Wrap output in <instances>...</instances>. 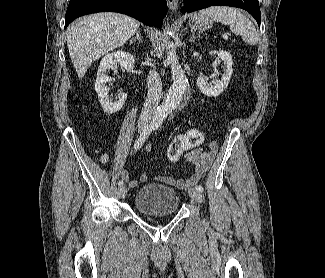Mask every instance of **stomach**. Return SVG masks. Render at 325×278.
Returning <instances> with one entry per match:
<instances>
[{"label": "stomach", "instance_id": "1", "mask_svg": "<svg viewBox=\"0 0 325 278\" xmlns=\"http://www.w3.org/2000/svg\"><path fill=\"white\" fill-rule=\"evenodd\" d=\"M212 25V20L205 15L194 13L189 19V26L195 30L204 31L211 28Z\"/></svg>", "mask_w": 325, "mask_h": 278}]
</instances>
